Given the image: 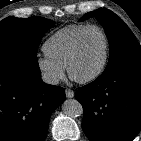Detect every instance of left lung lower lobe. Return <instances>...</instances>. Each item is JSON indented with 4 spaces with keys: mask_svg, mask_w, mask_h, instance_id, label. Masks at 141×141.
<instances>
[{
    "mask_svg": "<svg viewBox=\"0 0 141 141\" xmlns=\"http://www.w3.org/2000/svg\"><path fill=\"white\" fill-rule=\"evenodd\" d=\"M82 128L90 141H131L141 130V62L120 64L81 87Z\"/></svg>",
    "mask_w": 141,
    "mask_h": 141,
    "instance_id": "1",
    "label": "left lung lower lobe"
}]
</instances>
